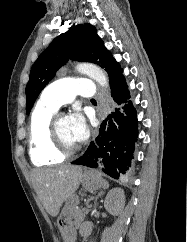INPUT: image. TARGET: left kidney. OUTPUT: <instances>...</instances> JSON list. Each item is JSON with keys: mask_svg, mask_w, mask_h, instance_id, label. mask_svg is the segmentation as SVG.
<instances>
[{"mask_svg": "<svg viewBox=\"0 0 187 242\" xmlns=\"http://www.w3.org/2000/svg\"><path fill=\"white\" fill-rule=\"evenodd\" d=\"M125 205V195L121 188L110 190L105 198L104 207L112 215H118Z\"/></svg>", "mask_w": 187, "mask_h": 242, "instance_id": "5707ae66", "label": "left kidney"}]
</instances>
